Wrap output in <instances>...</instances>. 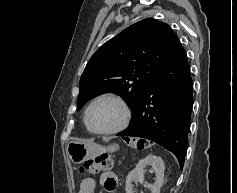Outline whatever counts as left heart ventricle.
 Listing matches in <instances>:
<instances>
[{"instance_id": "obj_1", "label": "left heart ventricle", "mask_w": 237, "mask_h": 193, "mask_svg": "<svg viewBox=\"0 0 237 193\" xmlns=\"http://www.w3.org/2000/svg\"><path fill=\"white\" fill-rule=\"evenodd\" d=\"M123 118L121 107L112 100L96 103L90 111V123L97 130H109L120 124Z\"/></svg>"}]
</instances>
